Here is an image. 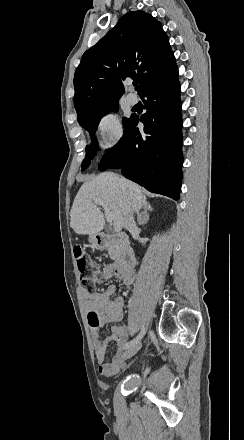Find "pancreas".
<instances>
[{
	"instance_id": "obj_1",
	"label": "pancreas",
	"mask_w": 244,
	"mask_h": 440,
	"mask_svg": "<svg viewBox=\"0 0 244 440\" xmlns=\"http://www.w3.org/2000/svg\"><path fill=\"white\" fill-rule=\"evenodd\" d=\"M107 250H108V254L111 258V260H119V244H117V242H110L109 246H106Z\"/></svg>"
}]
</instances>
